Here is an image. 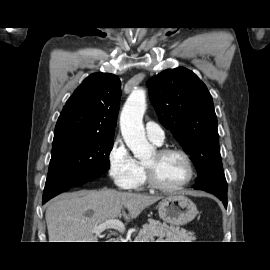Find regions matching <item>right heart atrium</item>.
I'll list each match as a JSON object with an SVG mask.
<instances>
[{
    "label": "right heart atrium",
    "instance_id": "obj_1",
    "mask_svg": "<svg viewBox=\"0 0 270 270\" xmlns=\"http://www.w3.org/2000/svg\"><path fill=\"white\" fill-rule=\"evenodd\" d=\"M108 173L113 182L122 189L135 187L140 168L121 138L113 141L107 156Z\"/></svg>",
    "mask_w": 270,
    "mask_h": 270
}]
</instances>
